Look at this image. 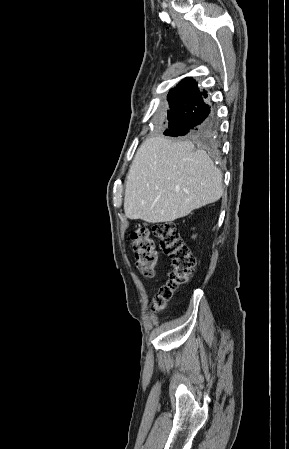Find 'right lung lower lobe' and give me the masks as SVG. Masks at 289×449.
Masks as SVG:
<instances>
[{
    "label": "right lung lower lobe",
    "instance_id": "right-lung-lower-lobe-1",
    "mask_svg": "<svg viewBox=\"0 0 289 449\" xmlns=\"http://www.w3.org/2000/svg\"><path fill=\"white\" fill-rule=\"evenodd\" d=\"M206 92L197 88L192 78H186L168 94L171 118L166 130L167 136H203L214 129V117L203 101Z\"/></svg>",
    "mask_w": 289,
    "mask_h": 449
}]
</instances>
